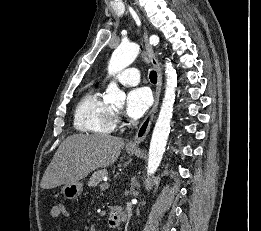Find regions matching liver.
Returning <instances> with one entry per match:
<instances>
[{"label": "liver", "mask_w": 261, "mask_h": 231, "mask_svg": "<svg viewBox=\"0 0 261 231\" xmlns=\"http://www.w3.org/2000/svg\"><path fill=\"white\" fill-rule=\"evenodd\" d=\"M124 145L122 138L107 134H74L67 137L47 167L41 187L52 189L74 183L97 168L112 165Z\"/></svg>", "instance_id": "obj_1"}]
</instances>
